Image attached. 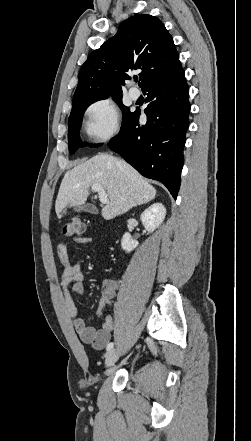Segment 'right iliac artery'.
<instances>
[{"instance_id":"right-iliac-artery-1","label":"right iliac artery","mask_w":251,"mask_h":441,"mask_svg":"<svg viewBox=\"0 0 251 441\" xmlns=\"http://www.w3.org/2000/svg\"><path fill=\"white\" fill-rule=\"evenodd\" d=\"M113 346H114L113 342L109 343L106 347V350L107 351L111 350L113 348Z\"/></svg>"}]
</instances>
